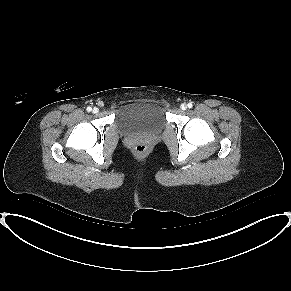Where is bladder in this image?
Returning a JSON list of instances; mask_svg holds the SVG:
<instances>
[{
    "instance_id": "31cf9c89",
    "label": "bladder",
    "mask_w": 291,
    "mask_h": 291,
    "mask_svg": "<svg viewBox=\"0 0 291 291\" xmlns=\"http://www.w3.org/2000/svg\"><path fill=\"white\" fill-rule=\"evenodd\" d=\"M115 123L121 133L154 132L164 127L166 116L157 102H132L119 109Z\"/></svg>"
}]
</instances>
